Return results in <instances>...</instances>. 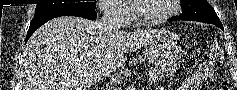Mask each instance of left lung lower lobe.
Returning <instances> with one entry per match:
<instances>
[{
  "instance_id": "0a47b994",
  "label": "left lung lower lobe",
  "mask_w": 237,
  "mask_h": 90,
  "mask_svg": "<svg viewBox=\"0 0 237 90\" xmlns=\"http://www.w3.org/2000/svg\"><path fill=\"white\" fill-rule=\"evenodd\" d=\"M175 20H188V19H184V18H181V17H172V18L169 19V21H175ZM210 24H212V23H210ZM214 25L219 27L221 30H224L222 24H214Z\"/></svg>"
}]
</instances>
